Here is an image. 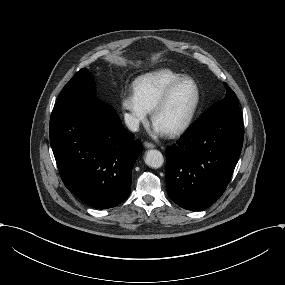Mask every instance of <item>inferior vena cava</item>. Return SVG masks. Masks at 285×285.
<instances>
[{
	"label": "inferior vena cava",
	"instance_id": "602c4592",
	"mask_svg": "<svg viewBox=\"0 0 285 285\" xmlns=\"http://www.w3.org/2000/svg\"><path fill=\"white\" fill-rule=\"evenodd\" d=\"M125 123L129 130L137 132L139 130V120L130 114L124 115Z\"/></svg>",
	"mask_w": 285,
	"mask_h": 285
}]
</instances>
